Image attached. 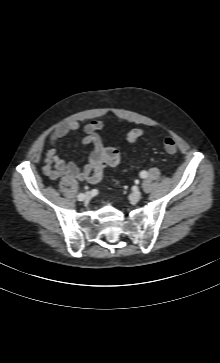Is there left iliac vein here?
<instances>
[{"instance_id": "1", "label": "left iliac vein", "mask_w": 220, "mask_h": 363, "mask_svg": "<svg viewBox=\"0 0 220 363\" xmlns=\"http://www.w3.org/2000/svg\"><path fill=\"white\" fill-rule=\"evenodd\" d=\"M141 196H142L141 191L140 190H135L133 193L130 194L129 200L132 203H136L141 199Z\"/></svg>"}]
</instances>
